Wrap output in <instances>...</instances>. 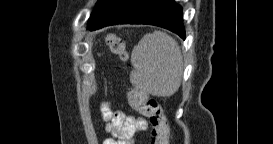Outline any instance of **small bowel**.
<instances>
[{
	"mask_svg": "<svg viewBox=\"0 0 273 144\" xmlns=\"http://www.w3.org/2000/svg\"><path fill=\"white\" fill-rule=\"evenodd\" d=\"M103 120L107 123V130L117 137V144H131L136 136L148 128V122L142 117L129 116L123 111H114L108 105L101 107ZM115 141L111 140V144Z\"/></svg>",
	"mask_w": 273,
	"mask_h": 144,
	"instance_id": "1",
	"label": "small bowel"
}]
</instances>
